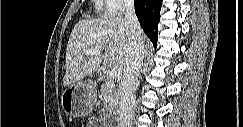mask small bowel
Listing matches in <instances>:
<instances>
[{
    "instance_id": "small-bowel-1",
    "label": "small bowel",
    "mask_w": 243,
    "mask_h": 127,
    "mask_svg": "<svg viewBox=\"0 0 243 127\" xmlns=\"http://www.w3.org/2000/svg\"><path fill=\"white\" fill-rule=\"evenodd\" d=\"M89 127H99V123L95 120L89 122Z\"/></svg>"
}]
</instances>
